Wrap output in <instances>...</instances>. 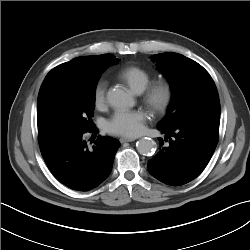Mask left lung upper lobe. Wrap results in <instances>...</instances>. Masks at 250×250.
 <instances>
[{"mask_svg":"<svg viewBox=\"0 0 250 250\" xmlns=\"http://www.w3.org/2000/svg\"><path fill=\"white\" fill-rule=\"evenodd\" d=\"M158 69L167 77L172 100L158 127L176 129L187 122L220 117V102L214 81L197 62L181 54L153 55Z\"/></svg>","mask_w":250,"mask_h":250,"instance_id":"left-lung-upper-lobe-1","label":"left lung upper lobe"}]
</instances>
